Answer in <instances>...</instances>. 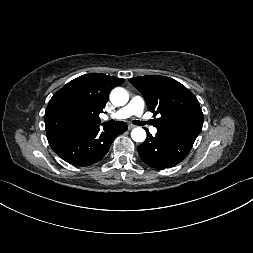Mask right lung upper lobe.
<instances>
[{"label":"right lung upper lobe","mask_w":253,"mask_h":253,"mask_svg":"<svg viewBox=\"0 0 253 253\" xmlns=\"http://www.w3.org/2000/svg\"><path fill=\"white\" fill-rule=\"evenodd\" d=\"M123 82L122 78L101 73L82 75L58 90L48 106L56 103L68 104L82 114L87 128L92 127L100 123L99 114L107 103L110 91Z\"/></svg>","instance_id":"right-lung-upper-lobe-1"}]
</instances>
